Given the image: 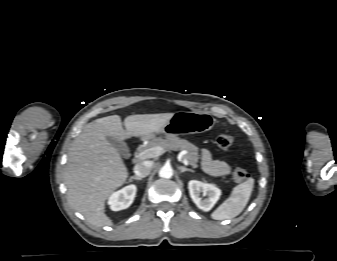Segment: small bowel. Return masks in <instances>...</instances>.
<instances>
[{"instance_id": "small-bowel-1", "label": "small bowel", "mask_w": 337, "mask_h": 261, "mask_svg": "<svg viewBox=\"0 0 337 261\" xmlns=\"http://www.w3.org/2000/svg\"><path fill=\"white\" fill-rule=\"evenodd\" d=\"M201 165L203 170L212 176H223L230 172V166L226 160L213 158L207 149L201 151Z\"/></svg>"}]
</instances>
